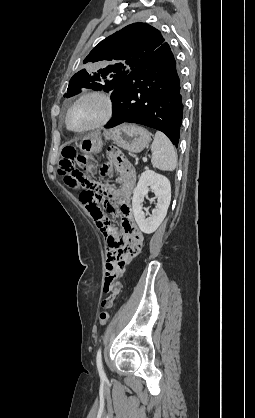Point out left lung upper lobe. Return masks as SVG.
Segmentation results:
<instances>
[{
	"label": "left lung upper lobe",
	"instance_id": "1",
	"mask_svg": "<svg viewBox=\"0 0 255 418\" xmlns=\"http://www.w3.org/2000/svg\"><path fill=\"white\" fill-rule=\"evenodd\" d=\"M160 31L146 23H134L101 41L85 58L83 63L96 67L82 69L70 80L67 94L71 97L80 88L114 91L127 75L165 45ZM100 68V69H98Z\"/></svg>",
	"mask_w": 255,
	"mask_h": 418
}]
</instances>
